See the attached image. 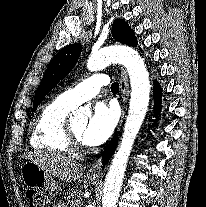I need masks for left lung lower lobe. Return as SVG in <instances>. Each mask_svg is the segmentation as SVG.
<instances>
[{
	"label": "left lung lower lobe",
	"instance_id": "obj_1",
	"mask_svg": "<svg viewBox=\"0 0 206 207\" xmlns=\"http://www.w3.org/2000/svg\"><path fill=\"white\" fill-rule=\"evenodd\" d=\"M161 88L159 86V84L157 82H154V101H155V113L159 114L160 112V103H161ZM156 114V115H157ZM117 144V137H115L112 142L109 144V146L107 147L104 156H103V161L104 164L107 163V161L109 160V158L111 157V155L114 153L115 147Z\"/></svg>",
	"mask_w": 206,
	"mask_h": 207
}]
</instances>
